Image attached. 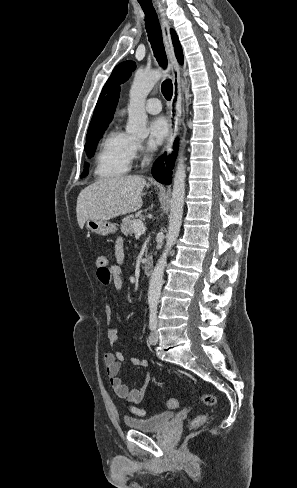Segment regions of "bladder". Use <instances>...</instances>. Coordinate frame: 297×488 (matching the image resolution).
Here are the masks:
<instances>
[{
	"instance_id": "31cf9c89",
	"label": "bladder",
	"mask_w": 297,
	"mask_h": 488,
	"mask_svg": "<svg viewBox=\"0 0 297 488\" xmlns=\"http://www.w3.org/2000/svg\"><path fill=\"white\" fill-rule=\"evenodd\" d=\"M173 417V412L165 411L145 419L126 416L124 423L130 429L142 432H158L167 427Z\"/></svg>"
}]
</instances>
